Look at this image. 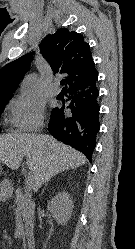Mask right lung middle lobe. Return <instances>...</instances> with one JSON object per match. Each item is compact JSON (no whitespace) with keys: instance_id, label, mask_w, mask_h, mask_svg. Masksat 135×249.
Here are the masks:
<instances>
[{"instance_id":"1","label":"right lung middle lobe","mask_w":135,"mask_h":249,"mask_svg":"<svg viewBox=\"0 0 135 249\" xmlns=\"http://www.w3.org/2000/svg\"><path fill=\"white\" fill-rule=\"evenodd\" d=\"M8 99H4L2 101H0V115L2 113V111L4 110V107L6 106V104H8Z\"/></svg>"}]
</instances>
